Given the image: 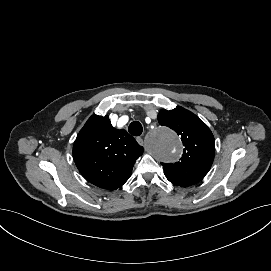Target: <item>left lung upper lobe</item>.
<instances>
[{"label": "left lung upper lobe", "instance_id": "5c2ea615", "mask_svg": "<svg viewBox=\"0 0 271 271\" xmlns=\"http://www.w3.org/2000/svg\"><path fill=\"white\" fill-rule=\"evenodd\" d=\"M158 122L180 135L184 145L178 162L161 163L166 178L180 187L200 182L210 170L215 154V141L210 129L195 114L180 106L170 111L162 109Z\"/></svg>", "mask_w": 271, "mask_h": 271}]
</instances>
